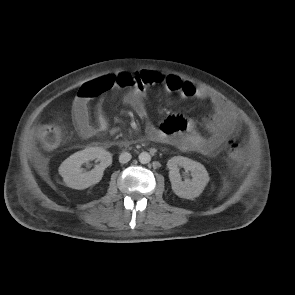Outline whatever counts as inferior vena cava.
<instances>
[{
    "label": "inferior vena cava",
    "mask_w": 295,
    "mask_h": 295,
    "mask_svg": "<svg viewBox=\"0 0 295 295\" xmlns=\"http://www.w3.org/2000/svg\"><path fill=\"white\" fill-rule=\"evenodd\" d=\"M130 159H131V154L128 153V152H123L119 156V162L120 163H123V164L124 163H127L128 161H130Z\"/></svg>",
    "instance_id": "inferior-vena-cava-1"
}]
</instances>
